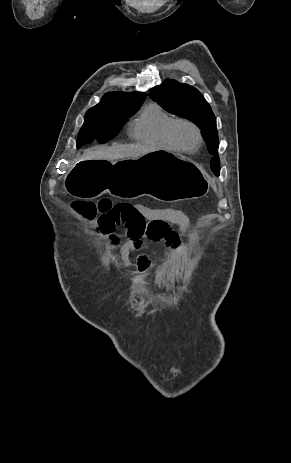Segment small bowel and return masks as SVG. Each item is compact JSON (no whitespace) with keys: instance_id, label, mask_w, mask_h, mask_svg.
Here are the masks:
<instances>
[{"instance_id":"obj_1","label":"small bowel","mask_w":291,"mask_h":463,"mask_svg":"<svg viewBox=\"0 0 291 463\" xmlns=\"http://www.w3.org/2000/svg\"><path fill=\"white\" fill-rule=\"evenodd\" d=\"M127 239L122 241L113 229H105L104 237L108 249L118 253L125 267L133 264L131 254L136 253L135 264L143 274H155L146 253L142 252L144 239L164 241L176 253L183 252L181 234L189 232L190 223L187 216L179 210L171 208H145L131 205L125 216ZM170 224L179 226L180 232L173 230Z\"/></svg>"}]
</instances>
